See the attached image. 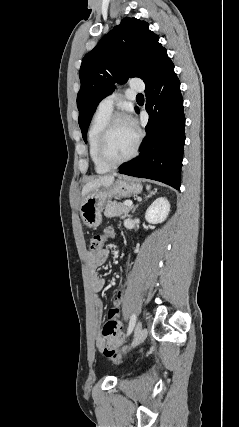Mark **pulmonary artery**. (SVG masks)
<instances>
[{
	"instance_id": "e3ab8cb5",
	"label": "pulmonary artery",
	"mask_w": 239,
	"mask_h": 427,
	"mask_svg": "<svg viewBox=\"0 0 239 427\" xmlns=\"http://www.w3.org/2000/svg\"><path fill=\"white\" fill-rule=\"evenodd\" d=\"M130 88L133 91L141 92V91H144L145 84L140 80H132L130 82ZM117 99H118L117 93H112V94L106 96L105 98H103L100 101L98 109L103 110V111H107V112H111L113 107H114L115 102L117 101Z\"/></svg>"
}]
</instances>
